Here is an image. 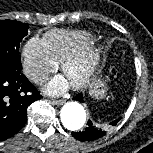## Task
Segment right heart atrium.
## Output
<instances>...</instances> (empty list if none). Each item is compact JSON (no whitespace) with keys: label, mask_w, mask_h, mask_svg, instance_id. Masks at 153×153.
I'll list each match as a JSON object with an SVG mask.
<instances>
[{"label":"right heart atrium","mask_w":153,"mask_h":153,"mask_svg":"<svg viewBox=\"0 0 153 153\" xmlns=\"http://www.w3.org/2000/svg\"><path fill=\"white\" fill-rule=\"evenodd\" d=\"M22 64L26 75L35 83L46 80L58 67L44 39L37 36L30 38L23 46Z\"/></svg>","instance_id":"obj_1"}]
</instances>
